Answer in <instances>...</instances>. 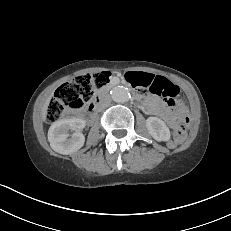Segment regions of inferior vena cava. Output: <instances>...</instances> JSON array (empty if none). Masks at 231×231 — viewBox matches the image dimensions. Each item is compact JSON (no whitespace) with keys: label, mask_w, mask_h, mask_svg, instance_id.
<instances>
[{"label":"inferior vena cava","mask_w":231,"mask_h":231,"mask_svg":"<svg viewBox=\"0 0 231 231\" xmlns=\"http://www.w3.org/2000/svg\"><path fill=\"white\" fill-rule=\"evenodd\" d=\"M110 103H111L110 97H109V96H106V97L102 100L100 108H101V109L107 108V107L110 105Z\"/></svg>","instance_id":"inferior-vena-cava-1"}]
</instances>
